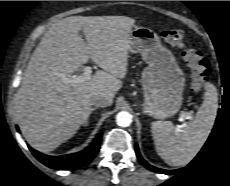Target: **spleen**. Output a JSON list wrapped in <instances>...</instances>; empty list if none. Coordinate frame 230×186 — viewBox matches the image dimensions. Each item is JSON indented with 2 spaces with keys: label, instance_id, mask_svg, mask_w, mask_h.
Masks as SVG:
<instances>
[{
  "label": "spleen",
  "instance_id": "spleen-1",
  "mask_svg": "<svg viewBox=\"0 0 230 186\" xmlns=\"http://www.w3.org/2000/svg\"><path fill=\"white\" fill-rule=\"evenodd\" d=\"M204 100L195 118L185 126L156 121L151 132L158 155L169 165L185 166L206 142L217 116L218 93L212 83L205 84Z\"/></svg>",
  "mask_w": 230,
  "mask_h": 186
}]
</instances>
